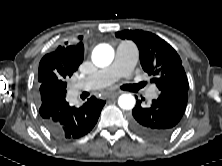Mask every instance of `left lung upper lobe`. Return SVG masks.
<instances>
[{
	"label": "left lung upper lobe",
	"mask_w": 222,
	"mask_h": 166,
	"mask_svg": "<svg viewBox=\"0 0 222 166\" xmlns=\"http://www.w3.org/2000/svg\"><path fill=\"white\" fill-rule=\"evenodd\" d=\"M116 37L136 43L140 52L142 68L159 90L178 87L188 90V80L177 52L157 35L142 30L116 32Z\"/></svg>",
	"instance_id": "1"
}]
</instances>
